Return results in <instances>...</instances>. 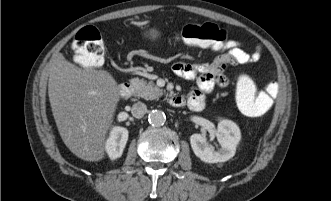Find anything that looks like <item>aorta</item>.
I'll use <instances>...</instances> for the list:
<instances>
[{
    "label": "aorta",
    "instance_id": "1",
    "mask_svg": "<svg viewBox=\"0 0 331 201\" xmlns=\"http://www.w3.org/2000/svg\"><path fill=\"white\" fill-rule=\"evenodd\" d=\"M148 121L152 126H162L166 121V115L161 110H152L149 113Z\"/></svg>",
    "mask_w": 331,
    "mask_h": 201
}]
</instances>
